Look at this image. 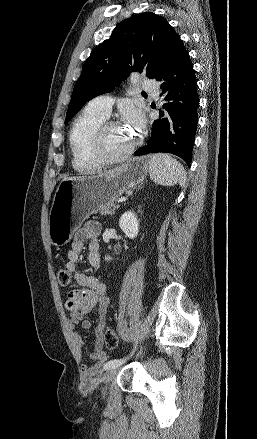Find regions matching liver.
Returning <instances> with one entry per match:
<instances>
[{
  "label": "liver",
  "instance_id": "obj_1",
  "mask_svg": "<svg viewBox=\"0 0 257 439\" xmlns=\"http://www.w3.org/2000/svg\"><path fill=\"white\" fill-rule=\"evenodd\" d=\"M66 179H74V178H66Z\"/></svg>",
  "mask_w": 257,
  "mask_h": 439
}]
</instances>
